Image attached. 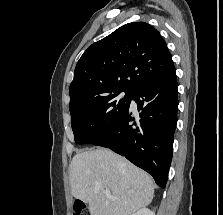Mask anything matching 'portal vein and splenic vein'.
<instances>
[{"label": "portal vein and splenic vein", "mask_w": 223, "mask_h": 215, "mask_svg": "<svg viewBox=\"0 0 223 215\" xmlns=\"http://www.w3.org/2000/svg\"><path fill=\"white\" fill-rule=\"evenodd\" d=\"M106 197H110V199H119V197H114V195H111L110 189H105Z\"/></svg>", "instance_id": "obj_1"}]
</instances>
